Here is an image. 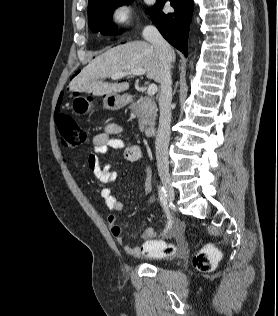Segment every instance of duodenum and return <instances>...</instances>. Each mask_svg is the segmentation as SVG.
I'll return each mask as SVG.
<instances>
[{
	"label": "duodenum",
	"mask_w": 278,
	"mask_h": 316,
	"mask_svg": "<svg viewBox=\"0 0 278 316\" xmlns=\"http://www.w3.org/2000/svg\"><path fill=\"white\" fill-rule=\"evenodd\" d=\"M127 101H130L131 100V97L130 96H127L126 98ZM145 134L147 136H153L155 133H156V128L154 126H149L147 128H145Z\"/></svg>",
	"instance_id": "1"
}]
</instances>
